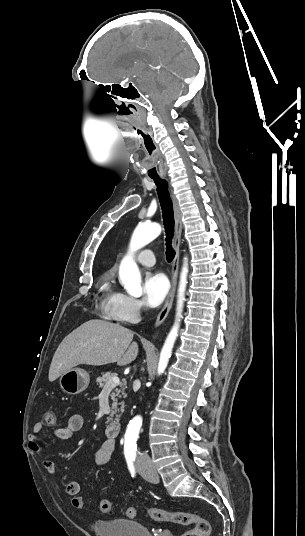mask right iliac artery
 I'll list each match as a JSON object with an SVG mask.
<instances>
[{
	"instance_id": "1",
	"label": "right iliac artery",
	"mask_w": 305,
	"mask_h": 536,
	"mask_svg": "<svg viewBox=\"0 0 305 536\" xmlns=\"http://www.w3.org/2000/svg\"><path fill=\"white\" fill-rule=\"evenodd\" d=\"M125 457H126L128 469H129L132 477H134L135 469H134L133 462L135 461V458H132V457H129V456H125Z\"/></svg>"
}]
</instances>
